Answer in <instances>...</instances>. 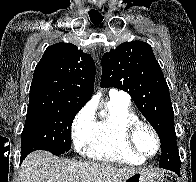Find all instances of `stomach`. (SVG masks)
<instances>
[{
    "instance_id": "obj_1",
    "label": "stomach",
    "mask_w": 196,
    "mask_h": 182,
    "mask_svg": "<svg viewBox=\"0 0 196 182\" xmlns=\"http://www.w3.org/2000/svg\"><path fill=\"white\" fill-rule=\"evenodd\" d=\"M125 182H163L161 175L156 172L138 171L131 175Z\"/></svg>"
}]
</instances>
